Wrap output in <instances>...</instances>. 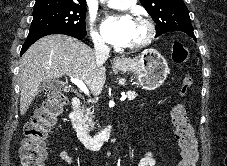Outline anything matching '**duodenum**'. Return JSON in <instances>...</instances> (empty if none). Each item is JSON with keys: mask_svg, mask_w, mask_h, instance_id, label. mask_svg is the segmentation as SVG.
Returning a JSON list of instances; mask_svg holds the SVG:
<instances>
[{"mask_svg": "<svg viewBox=\"0 0 227 166\" xmlns=\"http://www.w3.org/2000/svg\"><path fill=\"white\" fill-rule=\"evenodd\" d=\"M81 108L82 101L79 98H74L71 102L69 113L70 122L77 133L78 139L87 149L99 150L109 140L112 134V127L107 126L97 135H91L78 120Z\"/></svg>", "mask_w": 227, "mask_h": 166, "instance_id": "duodenum-1", "label": "duodenum"}]
</instances>
